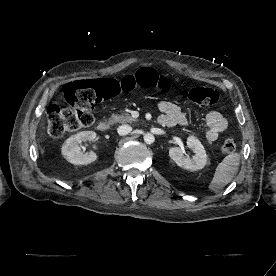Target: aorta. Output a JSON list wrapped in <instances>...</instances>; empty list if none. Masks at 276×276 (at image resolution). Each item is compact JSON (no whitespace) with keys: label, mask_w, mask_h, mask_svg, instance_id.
<instances>
[{"label":"aorta","mask_w":276,"mask_h":276,"mask_svg":"<svg viewBox=\"0 0 276 276\" xmlns=\"http://www.w3.org/2000/svg\"><path fill=\"white\" fill-rule=\"evenodd\" d=\"M143 138L147 144H151L155 141V137L151 133H146Z\"/></svg>","instance_id":"1"}]
</instances>
